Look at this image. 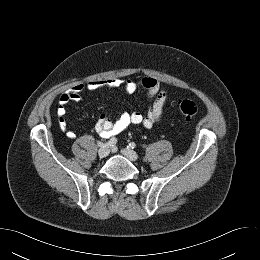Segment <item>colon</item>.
<instances>
[{
    "label": "colon",
    "mask_w": 260,
    "mask_h": 260,
    "mask_svg": "<svg viewBox=\"0 0 260 260\" xmlns=\"http://www.w3.org/2000/svg\"><path fill=\"white\" fill-rule=\"evenodd\" d=\"M180 111L187 118H192L198 113V106L192 100H183L180 103Z\"/></svg>",
    "instance_id": "colon-1"
}]
</instances>
